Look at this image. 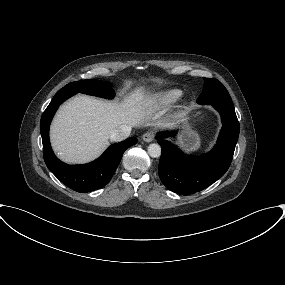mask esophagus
<instances>
[{
  "mask_svg": "<svg viewBox=\"0 0 285 285\" xmlns=\"http://www.w3.org/2000/svg\"><path fill=\"white\" fill-rule=\"evenodd\" d=\"M155 138V135L152 133V132H146L143 134L142 136V139L145 141V142H152Z\"/></svg>",
  "mask_w": 285,
  "mask_h": 285,
  "instance_id": "1",
  "label": "esophagus"
}]
</instances>
